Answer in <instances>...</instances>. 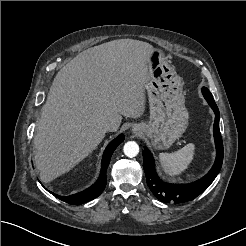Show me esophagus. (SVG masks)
<instances>
[{"label":"esophagus","instance_id":"1","mask_svg":"<svg viewBox=\"0 0 246 246\" xmlns=\"http://www.w3.org/2000/svg\"><path fill=\"white\" fill-rule=\"evenodd\" d=\"M132 131H133L134 133H138V128H137V127H133Z\"/></svg>","mask_w":246,"mask_h":246}]
</instances>
